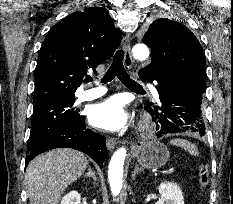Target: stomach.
Instances as JSON below:
<instances>
[{"mask_svg": "<svg viewBox=\"0 0 233 204\" xmlns=\"http://www.w3.org/2000/svg\"><path fill=\"white\" fill-rule=\"evenodd\" d=\"M167 147L158 141H150L142 144L136 151L137 162L143 168H159L165 165L169 159Z\"/></svg>", "mask_w": 233, "mask_h": 204, "instance_id": "stomach-1", "label": "stomach"}]
</instances>
